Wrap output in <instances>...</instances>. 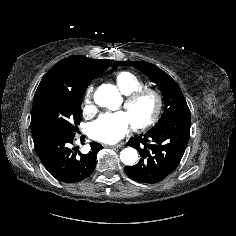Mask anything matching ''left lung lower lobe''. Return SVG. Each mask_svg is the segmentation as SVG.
<instances>
[{
  "label": "left lung lower lobe",
  "instance_id": "obj_1",
  "mask_svg": "<svg viewBox=\"0 0 236 236\" xmlns=\"http://www.w3.org/2000/svg\"><path fill=\"white\" fill-rule=\"evenodd\" d=\"M191 117L182 116L170 120L156 130L130 139L141 156L136 165L125 166L126 174L142 183H158L169 176L180 163L189 137Z\"/></svg>",
  "mask_w": 236,
  "mask_h": 236
}]
</instances>
